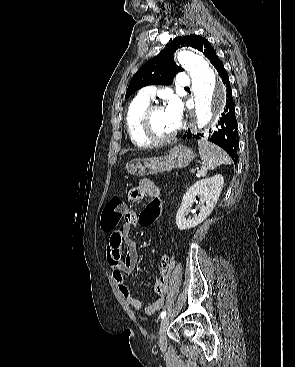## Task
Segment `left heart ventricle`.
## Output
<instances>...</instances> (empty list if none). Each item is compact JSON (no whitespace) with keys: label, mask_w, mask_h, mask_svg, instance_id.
<instances>
[{"label":"left heart ventricle","mask_w":295,"mask_h":367,"mask_svg":"<svg viewBox=\"0 0 295 367\" xmlns=\"http://www.w3.org/2000/svg\"><path fill=\"white\" fill-rule=\"evenodd\" d=\"M152 126L156 134L160 136H169L177 127L169 119L165 108L157 110L152 118Z\"/></svg>","instance_id":"b2bd125f"}]
</instances>
